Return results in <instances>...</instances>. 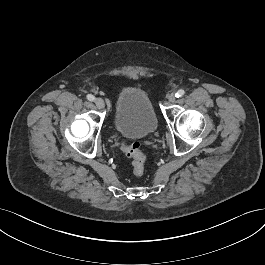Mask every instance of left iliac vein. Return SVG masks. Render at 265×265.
Wrapping results in <instances>:
<instances>
[{
	"label": "left iliac vein",
	"instance_id": "1",
	"mask_svg": "<svg viewBox=\"0 0 265 265\" xmlns=\"http://www.w3.org/2000/svg\"><path fill=\"white\" fill-rule=\"evenodd\" d=\"M167 100H168L169 102H174V101L176 100V96H175V94H174V93H170V94H168V96H167Z\"/></svg>",
	"mask_w": 265,
	"mask_h": 265
}]
</instances>
